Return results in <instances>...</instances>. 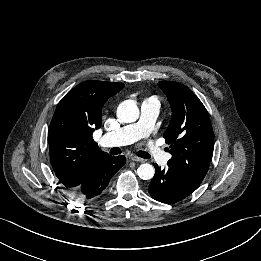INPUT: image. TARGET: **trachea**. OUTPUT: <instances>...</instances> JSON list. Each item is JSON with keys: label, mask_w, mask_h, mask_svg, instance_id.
Masks as SVG:
<instances>
[{"label": "trachea", "mask_w": 261, "mask_h": 261, "mask_svg": "<svg viewBox=\"0 0 261 261\" xmlns=\"http://www.w3.org/2000/svg\"><path fill=\"white\" fill-rule=\"evenodd\" d=\"M137 156L145 159H149L151 156L145 151H138Z\"/></svg>", "instance_id": "1"}]
</instances>
